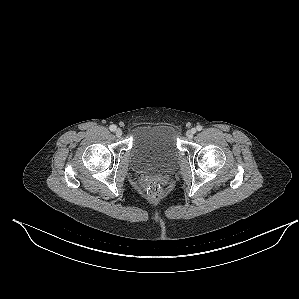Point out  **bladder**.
Wrapping results in <instances>:
<instances>
[{"mask_svg":"<svg viewBox=\"0 0 299 299\" xmlns=\"http://www.w3.org/2000/svg\"><path fill=\"white\" fill-rule=\"evenodd\" d=\"M129 153L136 172L169 173L176 168L180 156L177 132L167 124L139 126L133 131Z\"/></svg>","mask_w":299,"mask_h":299,"instance_id":"1","label":"bladder"}]
</instances>
